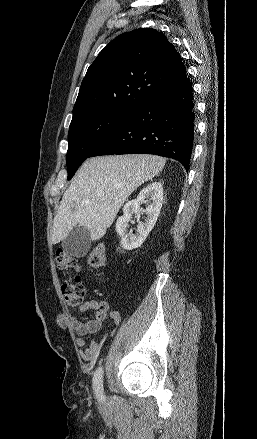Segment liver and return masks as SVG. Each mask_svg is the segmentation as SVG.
Listing matches in <instances>:
<instances>
[{"label":"liver","mask_w":257,"mask_h":439,"mask_svg":"<svg viewBox=\"0 0 257 439\" xmlns=\"http://www.w3.org/2000/svg\"><path fill=\"white\" fill-rule=\"evenodd\" d=\"M165 162L162 157L148 154L86 160L63 194L53 222L52 243L64 240L76 226L87 228L92 241L102 238L131 193L157 175Z\"/></svg>","instance_id":"6515ba94"}]
</instances>
